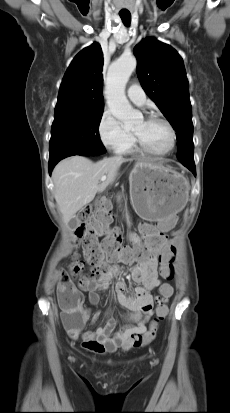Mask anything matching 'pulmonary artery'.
Wrapping results in <instances>:
<instances>
[{
	"label": "pulmonary artery",
	"mask_w": 230,
	"mask_h": 413,
	"mask_svg": "<svg viewBox=\"0 0 230 413\" xmlns=\"http://www.w3.org/2000/svg\"><path fill=\"white\" fill-rule=\"evenodd\" d=\"M127 95L129 99L137 105H143L146 101V94L142 87L137 83L129 86L127 89Z\"/></svg>",
	"instance_id": "pulmonary-artery-1"
}]
</instances>
